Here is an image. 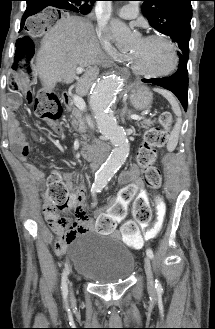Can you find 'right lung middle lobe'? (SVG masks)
Wrapping results in <instances>:
<instances>
[{
    "mask_svg": "<svg viewBox=\"0 0 215 329\" xmlns=\"http://www.w3.org/2000/svg\"><path fill=\"white\" fill-rule=\"evenodd\" d=\"M64 4L74 12H79L81 14H87L92 9V3L85 0H67Z\"/></svg>",
    "mask_w": 215,
    "mask_h": 329,
    "instance_id": "obj_1",
    "label": "right lung middle lobe"
}]
</instances>
